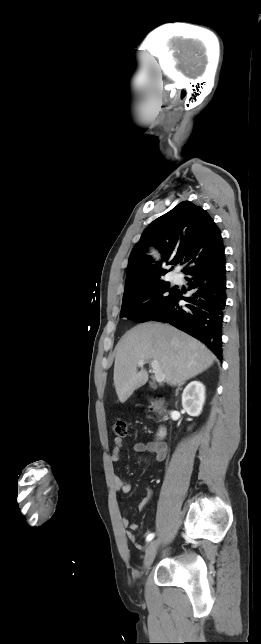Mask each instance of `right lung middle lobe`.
Wrapping results in <instances>:
<instances>
[{"instance_id": "right-lung-middle-lobe-1", "label": "right lung middle lobe", "mask_w": 261, "mask_h": 644, "mask_svg": "<svg viewBox=\"0 0 261 644\" xmlns=\"http://www.w3.org/2000/svg\"><path fill=\"white\" fill-rule=\"evenodd\" d=\"M178 292L164 280L125 288L120 316L136 322L152 320L165 310Z\"/></svg>"}]
</instances>
